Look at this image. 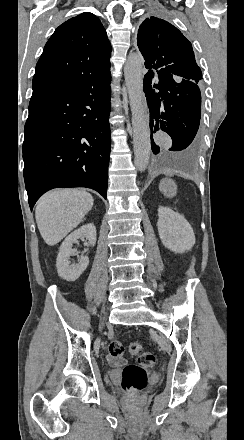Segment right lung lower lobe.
Listing matches in <instances>:
<instances>
[{
  "label": "right lung lower lobe",
  "instance_id": "98d812e1",
  "mask_svg": "<svg viewBox=\"0 0 244 440\" xmlns=\"http://www.w3.org/2000/svg\"><path fill=\"white\" fill-rule=\"evenodd\" d=\"M110 82L109 68L33 90L23 143L31 210L57 187H87L107 198Z\"/></svg>",
  "mask_w": 244,
  "mask_h": 440
}]
</instances>
